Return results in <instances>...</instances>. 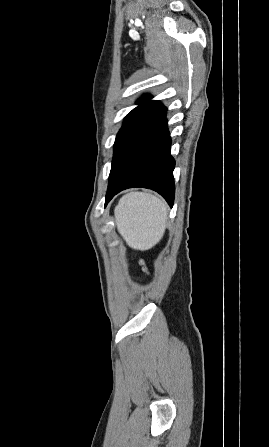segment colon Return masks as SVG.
<instances>
[{
  "label": "colon",
  "instance_id": "1",
  "mask_svg": "<svg viewBox=\"0 0 269 447\" xmlns=\"http://www.w3.org/2000/svg\"><path fill=\"white\" fill-rule=\"evenodd\" d=\"M141 267H142V270H143L146 274H150V269L148 268V266H147L143 261H141Z\"/></svg>",
  "mask_w": 269,
  "mask_h": 447
}]
</instances>
